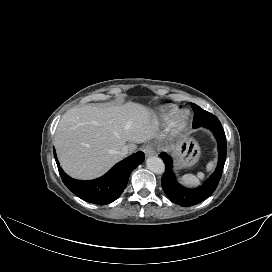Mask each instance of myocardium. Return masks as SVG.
I'll return each mask as SVG.
<instances>
[{
  "label": "myocardium",
  "mask_w": 272,
  "mask_h": 272,
  "mask_svg": "<svg viewBox=\"0 0 272 272\" xmlns=\"http://www.w3.org/2000/svg\"><path fill=\"white\" fill-rule=\"evenodd\" d=\"M189 114L187 111L178 112L171 121V130L173 133L181 131L187 125Z\"/></svg>",
  "instance_id": "obj_1"
}]
</instances>
